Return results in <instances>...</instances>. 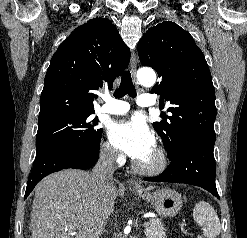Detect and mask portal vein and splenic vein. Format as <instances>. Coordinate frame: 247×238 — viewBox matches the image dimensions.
Segmentation results:
<instances>
[{
    "instance_id": "18ae733b",
    "label": "portal vein and splenic vein",
    "mask_w": 247,
    "mask_h": 238,
    "mask_svg": "<svg viewBox=\"0 0 247 238\" xmlns=\"http://www.w3.org/2000/svg\"><path fill=\"white\" fill-rule=\"evenodd\" d=\"M148 224V222H144V226H146Z\"/></svg>"
}]
</instances>
